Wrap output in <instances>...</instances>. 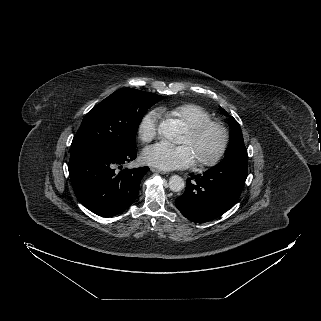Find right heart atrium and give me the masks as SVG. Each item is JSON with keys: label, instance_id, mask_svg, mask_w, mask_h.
Here are the masks:
<instances>
[{"label": "right heart atrium", "instance_id": "d8ad5b80", "mask_svg": "<svg viewBox=\"0 0 321 321\" xmlns=\"http://www.w3.org/2000/svg\"><path fill=\"white\" fill-rule=\"evenodd\" d=\"M159 117L160 112L158 110H151L140 120L138 125V136L143 142H150L156 137Z\"/></svg>", "mask_w": 321, "mask_h": 321}]
</instances>
